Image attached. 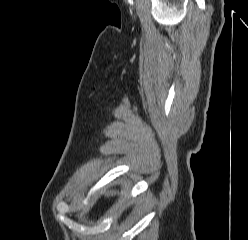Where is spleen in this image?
Here are the masks:
<instances>
[{
	"label": "spleen",
	"instance_id": "1",
	"mask_svg": "<svg viewBox=\"0 0 248 240\" xmlns=\"http://www.w3.org/2000/svg\"><path fill=\"white\" fill-rule=\"evenodd\" d=\"M116 193H117L116 191H111L110 193L107 194V196H109V195L113 196V195H116Z\"/></svg>",
	"mask_w": 248,
	"mask_h": 240
}]
</instances>
